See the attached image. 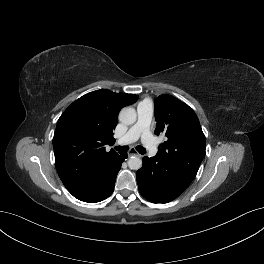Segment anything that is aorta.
Here are the masks:
<instances>
[{
	"mask_svg": "<svg viewBox=\"0 0 264 264\" xmlns=\"http://www.w3.org/2000/svg\"><path fill=\"white\" fill-rule=\"evenodd\" d=\"M136 118V111L132 107H124L119 113L120 122L126 125L134 124ZM128 167L132 170H138L142 167V160L138 157L133 156L128 160Z\"/></svg>",
	"mask_w": 264,
	"mask_h": 264,
	"instance_id": "1",
	"label": "aorta"
}]
</instances>
